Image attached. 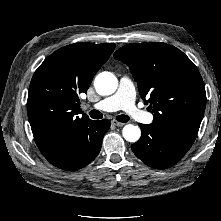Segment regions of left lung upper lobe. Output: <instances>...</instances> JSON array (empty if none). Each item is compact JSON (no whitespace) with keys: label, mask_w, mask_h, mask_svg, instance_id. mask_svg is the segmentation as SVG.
Segmentation results:
<instances>
[{"label":"left lung upper lobe","mask_w":221,"mask_h":221,"mask_svg":"<svg viewBox=\"0 0 221 221\" xmlns=\"http://www.w3.org/2000/svg\"><path fill=\"white\" fill-rule=\"evenodd\" d=\"M114 57L129 66L141 98L154 113L153 123L197 135L206 107L205 86L182 51L165 43H133Z\"/></svg>","instance_id":"obj_1"}]
</instances>
